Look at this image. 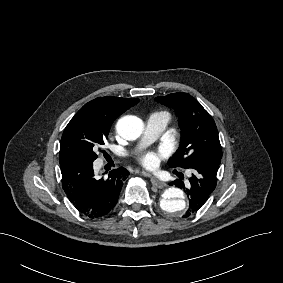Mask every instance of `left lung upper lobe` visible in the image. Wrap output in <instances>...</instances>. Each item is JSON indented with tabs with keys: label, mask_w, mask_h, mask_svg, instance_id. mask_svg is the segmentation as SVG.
<instances>
[{
	"label": "left lung upper lobe",
	"mask_w": 283,
	"mask_h": 283,
	"mask_svg": "<svg viewBox=\"0 0 283 283\" xmlns=\"http://www.w3.org/2000/svg\"><path fill=\"white\" fill-rule=\"evenodd\" d=\"M156 100L176 110L181 126L180 147L168 161L169 166L188 169L204 158H222L215 122L193 96L180 92Z\"/></svg>",
	"instance_id": "5c2ea615"
}]
</instances>
